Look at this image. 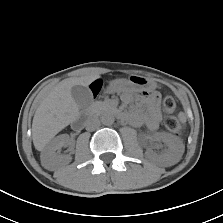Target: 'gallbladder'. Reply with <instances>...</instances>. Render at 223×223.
Segmentation results:
<instances>
[{"label": "gallbladder", "instance_id": "gallbladder-1", "mask_svg": "<svg viewBox=\"0 0 223 223\" xmlns=\"http://www.w3.org/2000/svg\"><path fill=\"white\" fill-rule=\"evenodd\" d=\"M71 95L80 108L87 107L92 101V93L87 86H73L71 88Z\"/></svg>", "mask_w": 223, "mask_h": 223}]
</instances>
